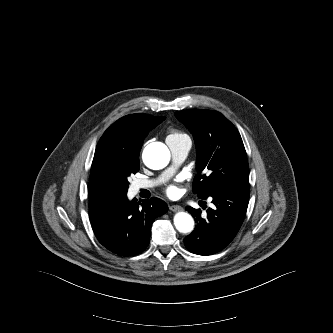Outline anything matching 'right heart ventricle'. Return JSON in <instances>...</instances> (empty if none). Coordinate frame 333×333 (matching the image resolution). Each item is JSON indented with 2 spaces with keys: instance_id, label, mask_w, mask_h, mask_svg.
Masks as SVG:
<instances>
[{
  "instance_id": "1",
  "label": "right heart ventricle",
  "mask_w": 333,
  "mask_h": 333,
  "mask_svg": "<svg viewBox=\"0 0 333 333\" xmlns=\"http://www.w3.org/2000/svg\"><path fill=\"white\" fill-rule=\"evenodd\" d=\"M167 141L168 140H174V141H184V140H189L190 141V138L187 134L183 133V132H180L176 129H171L169 131V134L167 136Z\"/></svg>"
}]
</instances>
